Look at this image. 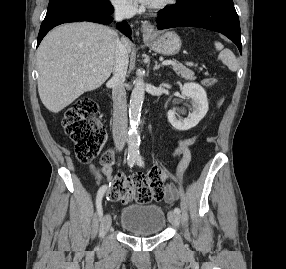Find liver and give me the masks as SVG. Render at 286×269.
<instances>
[{
	"mask_svg": "<svg viewBox=\"0 0 286 269\" xmlns=\"http://www.w3.org/2000/svg\"><path fill=\"white\" fill-rule=\"evenodd\" d=\"M118 41L114 30L96 23H70L50 31L37 50L38 92L44 106L58 113L99 88L112 73ZM126 44L130 52L128 39Z\"/></svg>",
	"mask_w": 286,
	"mask_h": 269,
	"instance_id": "obj_1",
	"label": "liver"
}]
</instances>
